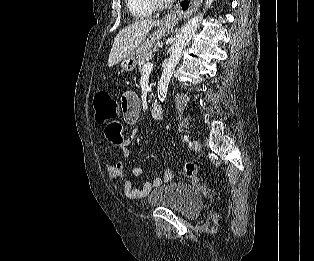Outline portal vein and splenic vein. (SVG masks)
<instances>
[{
    "mask_svg": "<svg viewBox=\"0 0 314 261\" xmlns=\"http://www.w3.org/2000/svg\"><path fill=\"white\" fill-rule=\"evenodd\" d=\"M153 69V64L151 62H147L145 65H144V70L143 72H151Z\"/></svg>",
    "mask_w": 314,
    "mask_h": 261,
    "instance_id": "18ae733b",
    "label": "portal vein and splenic vein"
}]
</instances>
